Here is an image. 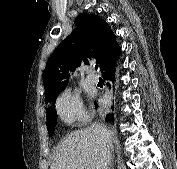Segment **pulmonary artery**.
I'll list each match as a JSON object with an SVG mask.
<instances>
[{
	"label": "pulmonary artery",
	"instance_id": "e3ab8cb5",
	"mask_svg": "<svg viewBox=\"0 0 177 169\" xmlns=\"http://www.w3.org/2000/svg\"><path fill=\"white\" fill-rule=\"evenodd\" d=\"M87 80H88V82L91 83V84H97L98 81H99V77H98V75H96V74H94V73H90V74H88V76H87Z\"/></svg>",
	"mask_w": 177,
	"mask_h": 169
}]
</instances>
